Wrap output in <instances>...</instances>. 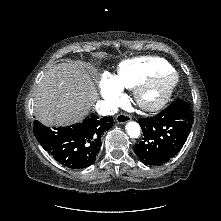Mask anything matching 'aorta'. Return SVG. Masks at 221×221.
Listing matches in <instances>:
<instances>
[{"mask_svg":"<svg viewBox=\"0 0 221 221\" xmlns=\"http://www.w3.org/2000/svg\"><path fill=\"white\" fill-rule=\"evenodd\" d=\"M126 130L131 138H138L141 132L139 124L133 121L126 124Z\"/></svg>","mask_w":221,"mask_h":221,"instance_id":"aorta-1","label":"aorta"}]
</instances>
